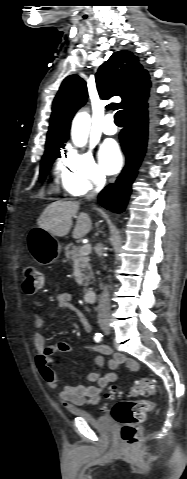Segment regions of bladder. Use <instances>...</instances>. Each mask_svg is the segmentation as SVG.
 <instances>
[{
    "label": "bladder",
    "instance_id": "bladder-1",
    "mask_svg": "<svg viewBox=\"0 0 187 479\" xmlns=\"http://www.w3.org/2000/svg\"><path fill=\"white\" fill-rule=\"evenodd\" d=\"M73 413L79 417L86 419L101 434L108 435L115 430V423L113 419L109 417H106V416L96 417L90 414L89 412L85 410H81V409L75 410L73 411Z\"/></svg>",
    "mask_w": 187,
    "mask_h": 479
}]
</instances>
